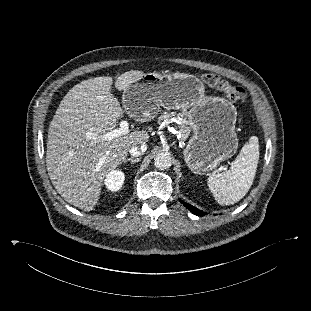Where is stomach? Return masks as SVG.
<instances>
[{
  "instance_id": "obj_1",
  "label": "stomach",
  "mask_w": 311,
  "mask_h": 311,
  "mask_svg": "<svg viewBox=\"0 0 311 311\" xmlns=\"http://www.w3.org/2000/svg\"><path fill=\"white\" fill-rule=\"evenodd\" d=\"M123 106L142 121L160 108L183 110L193 136L183 150L187 166L207 172L232 157L238 148L235 106L220 97L205 96L203 82L187 73H146L123 91Z\"/></svg>"
}]
</instances>
